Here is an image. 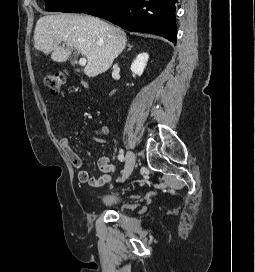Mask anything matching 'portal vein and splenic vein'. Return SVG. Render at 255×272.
<instances>
[{
	"instance_id": "obj_1",
	"label": "portal vein and splenic vein",
	"mask_w": 255,
	"mask_h": 272,
	"mask_svg": "<svg viewBox=\"0 0 255 272\" xmlns=\"http://www.w3.org/2000/svg\"><path fill=\"white\" fill-rule=\"evenodd\" d=\"M86 58L85 57H82V58H80V60H79V64L81 65V66H85L86 65Z\"/></svg>"
}]
</instances>
